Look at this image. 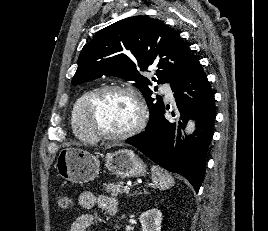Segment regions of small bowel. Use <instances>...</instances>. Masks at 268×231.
<instances>
[{
  "instance_id": "c3829d8e",
  "label": "small bowel",
  "mask_w": 268,
  "mask_h": 231,
  "mask_svg": "<svg viewBox=\"0 0 268 231\" xmlns=\"http://www.w3.org/2000/svg\"><path fill=\"white\" fill-rule=\"evenodd\" d=\"M78 204L84 209H92L99 207L104 213L108 215H115L118 210L117 200L108 195L96 196L89 191L81 192L78 197ZM94 223V216L91 214H84L77 217L66 229V231H89Z\"/></svg>"
}]
</instances>
